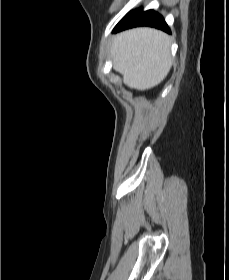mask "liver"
I'll return each instance as SVG.
<instances>
[{
  "instance_id": "obj_1",
  "label": "liver",
  "mask_w": 229,
  "mask_h": 280,
  "mask_svg": "<svg viewBox=\"0 0 229 280\" xmlns=\"http://www.w3.org/2000/svg\"><path fill=\"white\" fill-rule=\"evenodd\" d=\"M171 38L147 27L118 34L111 47L113 68L130 88L146 90L161 83L169 73Z\"/></svg>"
}]
</instances>
